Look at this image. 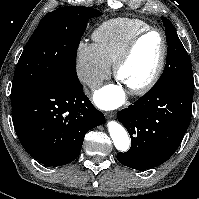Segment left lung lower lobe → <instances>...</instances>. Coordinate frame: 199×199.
<instances>
[{
  "label": "left lung lower lobe",
  "mask_w": 199,
  "mask_h": 199,
  "mask_svg": "<svg viewBox=\"0 0 199 199\" xmlns=\"http://www.w3.org/2000/svg\"><path fill=\"white\" fill-rule=\"evenodd\" d=\"M194 84H174L148 91L117 119L128 130L131 148L118 153L120 163L137 170L167 161L179 147L192 116Z\"/></svg>",
  "instance_id": "left-lung-lower-lobe-1"
}]
</instances>
